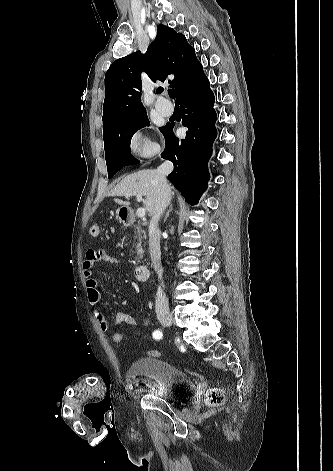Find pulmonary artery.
I'll return each instance as SVG.
<instances>
[{"label": "pulmonary artery", "mask_w": 333, "mask_h": 471, "mask_svg": "<svg viewBox=\"0 0 333 471\" xmlns=\"http://www.w3.org/2000/svg\"><path fill=\"white\" fill-rule=\"evenodd\" d=\"M155 108L160 114H162L164 116L171 115L173 113V110H174L172 104L164 98H160V99L157 100V102L155 104Z\"/></svg>", "instance_id": "1"}]
</instances>
